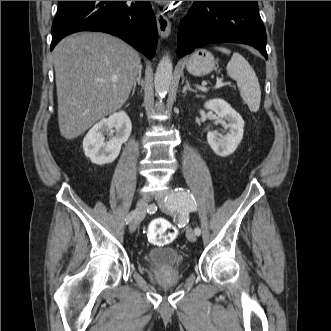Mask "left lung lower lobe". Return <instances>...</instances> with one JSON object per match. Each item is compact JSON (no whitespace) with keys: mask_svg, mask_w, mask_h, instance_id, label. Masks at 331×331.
Wrapping results in <instances>:
<instances>
[{"mask_svg":"<svg viewBox=\"0 0 331 331\" xmlns=\"http://www.w3.org/2000/svg\"><path fill=\"white\" fill-rule=\"evenodd\" d=\"M243 43L267 59L266 32L257 1H197L178 32L179 57L209 43Z\"/></svg>","mask_w":331,"mask_h":331,"instance_id":"obj_1","label":"left lung lower lobe"}]
</instances>
